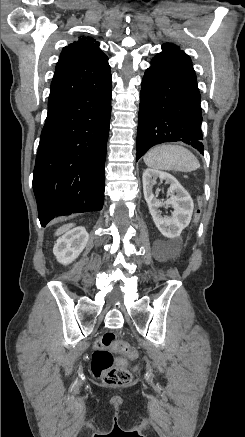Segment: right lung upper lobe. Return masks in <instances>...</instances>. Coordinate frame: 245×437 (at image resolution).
Listing matches in <instances>:
<instances>
[{"label":"right lung upper lobe","mask_w":245,"mask_h":437,"mask_svg":"<svg viewBox=\"0 0 245 437\" xmlns=\"http://www.w3.org/2000/svg\"><path fill=\"white\" fill-rule=\"evenodd\" d=\"M99 45L95 39L81 36L62 49L48 103L94 90L111 77L108 58Z\"/></svg>","instance_id":"obj_1"}]
</instances>
